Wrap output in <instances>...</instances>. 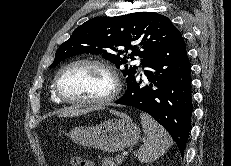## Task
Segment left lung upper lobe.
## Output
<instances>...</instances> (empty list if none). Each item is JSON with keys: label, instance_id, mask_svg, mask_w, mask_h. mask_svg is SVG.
I'll return each instance as SVG.
<instances>
[{"label": "left lung upper lobe", "instance_id": "obj_1", "mask_svg": "<svg viewBox=\"0 0 231 166\" xmlns=\"http://www.w3.org/2000/svg\"><path fill=\"white\" fill-rule=\"evenodd\" d=\"M177 29L166 16L155 12H137L118 17L93 18L74 30L71 37L58 48L54 62L78 54H100L114 63L130 84L138 68L128 66L127 59L140 56L141 65L162 48Z\"/></svg>", "mask_w": 231, "mask_h": 166}]
</instances>
